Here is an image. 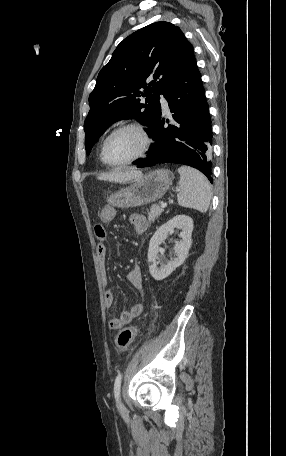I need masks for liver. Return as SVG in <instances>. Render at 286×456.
Returning a JSON list of instances; mask_svg holds the SVG:
<instances>
[{
    "instance_id": "liver-1",
    "label": "liver",
    "mask_w": 286,
    "mask_h": 456,
    "mask_svg": "<svg viewBox=\"0 0 286 456\" xmlns=\"http://www.w3.org/2000/svg\"><path fill=\"white\" fill-rule=\"evenodd\" d=\"M143 177V173L139 170L127 168L124 170H116L110 173H102L97 179L114 183H127L130 181H138Z\"/></svg>"
}]
</instances>
